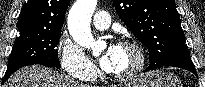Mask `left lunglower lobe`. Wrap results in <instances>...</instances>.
I'll list each match as a JSON object with an SVG mask.
<instances>
[{"label": "left lung lower lobe", "instance_id": "left-lung-lower-lobe-1", "mask_svg": "<svg viewBox=\"0 0 205 87\" xmlns=\"http://www.w3.org/2000/svg\"><path fill=\"white\" fill-rule=\"evenodd\" d=\"M165 66H173V67H178V68H182L185 70H188L192 73L196 74V70H195V66L190 58V55H183V56H179L173 60H171L169 63H167ZM151 69H146L145 71H148Z\"/></svg>", "mask_w": 205, "mask_h": 87}]
</instances>
